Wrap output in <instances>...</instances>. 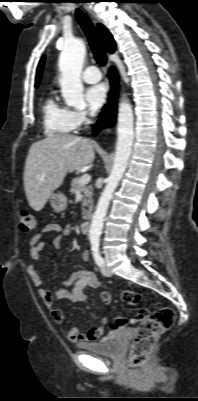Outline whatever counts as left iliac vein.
Instances as JSON below:
<instances>
[{
    "label": "left iliac vein",
    "mask_w": 198,
    "mask_h": 401,
    "mask_svg": "<svg viewBox=\"0 0 198 401\" xmlns=\"http://www.w3.org/2000/svg\"><path fill=\"white\" fill-rule=\"evenodd\" d=\"M100 270H101V273L104 276H106V277H110L111 276V271H110V269L107 267V265L105 263L101 266Z\"/></svg>",
    "instance_id": "4c4485c4"
}]
</instances>
